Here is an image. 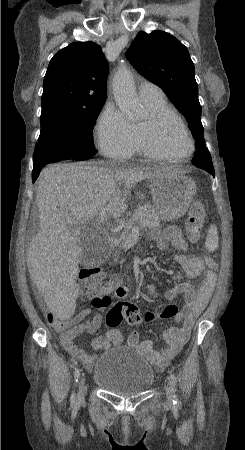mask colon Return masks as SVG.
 <instances>
[{"label": "colon", "instance_id": "obj_1", "mask_svg": "<svg viewBox=\"0 0 245 450\" xmlns=\"http://www.w3.org/2000/svg\"><path fill=\"white\" fill-rule=\"evenodd\" d=\"M207 217V209L205 205L198 199L192 200L190 204L189 214L185 221V233L187 240L190 243H197L201 239V229ZM205 262L209 269L215 270L217 262L212 257H205ZM82 288L84 290H92L97 293H103V298L96 297L94 300V307L97 309H104L107 325L112 328L108 332L109 339L118 343L121 340L120 333L115 330V327L125 321L130 326L138 327L143 323L142 316L138 308L130 302H112L109 298V293L113 290V285L105 281V273L99 267H87L82 270L80 274ZM178 313L175 305H164L160 308L149 312L145 316V321L150 322L159 318H172ZM48 323L57 330L64 331L66 338H71L76 333V328L66 319L57 315H51L47 319Z\"/></svg>", "mask_w": 245, "mask_h": 450}]
</instances>
